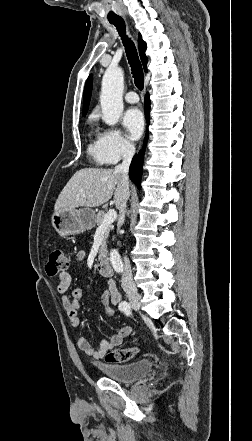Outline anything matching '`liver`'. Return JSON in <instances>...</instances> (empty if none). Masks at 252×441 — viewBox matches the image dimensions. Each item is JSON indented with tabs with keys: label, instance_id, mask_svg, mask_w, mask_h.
<instances>
[{
	"label": "liver",
	"instance_id": "1",
	"mask_svg": "<svg viewBox=\"0 0 252 441\" xmlns=\"http://www.w3.org/2000/svg\"><path fill=\"white\" fill-rule=\"evenodd\" d=\"M114 193L118 208L129 184L114 169L83 168L78 170L59 194L55 210H74L78 207H98L109 201Z\"/></svg>",
	"mask_w": 252,
	"mask_h": 441
}]
</instances>
